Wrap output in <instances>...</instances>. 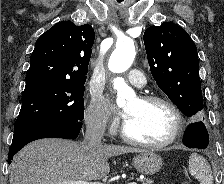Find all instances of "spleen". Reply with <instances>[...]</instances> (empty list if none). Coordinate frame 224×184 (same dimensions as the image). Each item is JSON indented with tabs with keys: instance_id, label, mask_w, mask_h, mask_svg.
Wrapping results in <instances>:
<instances>
[{
	"instance_id": "1",
	"label": "spleen",
	"mask_w": 224,
	"mask_h": 184,
	"mask_svg": "<svg viewBox=\"0 0 224 184\" xmlns=\"http://www.w3.org/2000/svg\"><path fill=\"white\" fill-rule=\"evenodd\" d=\"M189 172L200 184H213V175L209 164L196 153L189 158Z\"/></svg>"
}]
</instances>
